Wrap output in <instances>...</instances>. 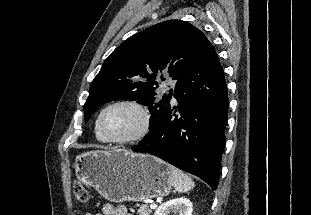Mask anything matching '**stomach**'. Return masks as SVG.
Here are the masks:
<instances>
[{"instance_id":"obj_1","label":"stomach","mask_w":311,"mask_h":215,"mask_svg":"<svg viewBox=\"0 0 311 215\" xmlns=\"http://www.w3.org/2000/svg\"><path fill=\"white\" fill-rule=\"evenodd\" d=\"M77 178L113 202H139L167 196L173 186L168 165L124 149L95 150L75 159Z\"/></svg>"}]
</instances>
